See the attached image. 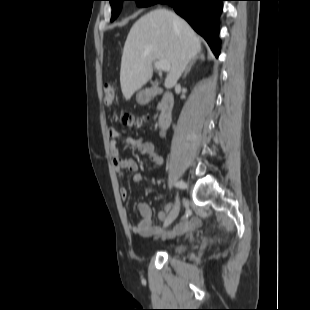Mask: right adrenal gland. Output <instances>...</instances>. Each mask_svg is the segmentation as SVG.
Instances as JSON below:
<instances>
[{
    "instance_id": "right-adrenal-gland-1",
    "label": "right adrenal gland",
    "mask_w": 310,
    "mask_h": 310,
    "mask_svg": "<svg viewBox=\"0 0 310 310\" xmlns=\"http://www.w3.org/2000/svg\"><path fill=\"white\" fill-rule=\"evenodd\" d=\"M198 59H201V60H204V55H198L196 56L195 58H193L190 62H189V65L187 66L185 72H184V75H183V78H185L187 76V74L189 73V71L191 70L192 66L195 64V62L198 60Z\"/></svg>"
}]
</instances>
